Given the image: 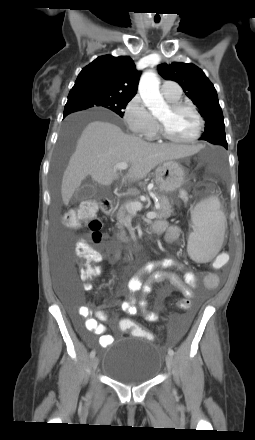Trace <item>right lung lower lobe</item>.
<instances>
[{
	"instance_id": "obj_1",
	"label": "right lung lower lobe",
	"mask_w": 255,
	"mask_h": 440,
	"mask_svg": "<svg viewBox=\"0 0 255 440\" xmlns=\"http://www.w3.org/2000/svg\"><path fill=\"white\" fill-rule=\"evenodd\" d=\"M68 114H64V117H66Z\"/></svg>"
}]
</instances>
